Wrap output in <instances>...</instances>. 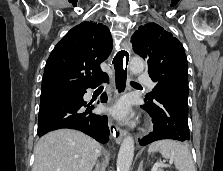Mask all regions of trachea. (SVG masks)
<instances>
[{
    "instance_id": "1",
    "label": "trachea",
    "mask_w": 223,
    "mask_h": 171,
    "mask_svg": "<svg viewBox=\"0 0 223 171\" xmlns=\"http://www.w3.org/2000/svg\"><path fill=\"white\" fill-rule=\"evenodd\" d=\"M132 84H136L135 82H131Z\"/></svg>"
}]
</instances>
